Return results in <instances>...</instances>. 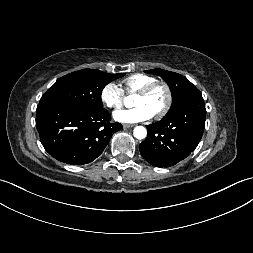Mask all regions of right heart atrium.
Instances as JSON below:
<instances>
[{
	"instance_id": "1",
	"label": "right heart atrium",
	"mask_w": 253,
	"mask_h": 253,
	"mask_svg": "<svg viewBox=\"0 0 253 253\" xmlns=\"http://www.w3.org/2000/svg\"><path fill=\"white\" fill-rule=\"evenodd\" d=\"M124 90L115 82H109L103 86L100 92L102 103L110 109H118L124 102Z\"/></svg>"
}]
</instances>
